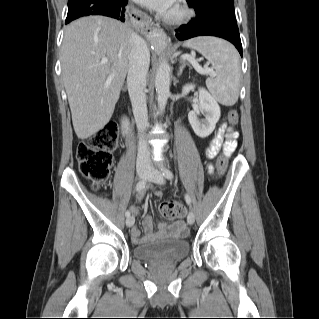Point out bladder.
Masks as SVG:
<instances>
[{
	"instance_id": "obj_1",
	"label": "bladder",
	"mask_w": 319,
	"mask_h": 319,
	"mask_svg": "<svg viewBox=\"0 0 319 319\" xmlns=\"http://www.w3.org/2000/svg\"><path fill=\"white\" fill-rule=\"evenodd\" d=\"M190 252L189 242L185 239L169 237L164 240L150 241L140 244L135 249L139 259L167 258L177 261Z\"/></svg>"
}]
</instances>
